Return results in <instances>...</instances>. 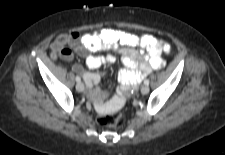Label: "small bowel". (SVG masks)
<instances>
[{"label": "small bowel", "instance_id": "c3829d8e", "mask_svg": "<svg viewBox=\"0 0 225 155\" xmlns=\"http://www.w3.org/2000/svg\"><path fill=\"white\" fill-rule=\"evenodd\" d=\"M69 45L80 55H86V65L90 71H85L82 66L74 65V70L82 74L86 85L96 87L101 76L91 70L99 68L104 63L116 61V55H120L123 69L119 71L118 79L121 86L117 95L104 102L100 91L91 94L98 112L118 113L126 106V99L131 89L135 88L142 78L152 69H160L165 65L162 58L164 53L171 51L170 45L152 35L145 34L140 37L119 30L103 28L97 32L81 34L73 32L67 41ZM139 47L140 50L136 49ZM102 49H111L107 56L87 54ZM63 59L71 58V51Z\"/></svg>", "mask_w": 225, "mask_h": 155}]
</instances>
